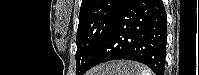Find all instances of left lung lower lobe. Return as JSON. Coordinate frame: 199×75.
I'll use <instances>...</instances> for the list:
<instances>
[{
	"label": "left lung lower lobe",
	"instance_id": "1",
	"mask_svg": "<svg viewBox=\"0 0 199 75\" xmlns=\"http://www.w3.org/2000/svg\"><path fill=\"white\" fill-rule=\"evenodd\" d=\"M166 43L167 21L162 1L125 0L87 70L110 60L126 59L149 66L156 75H164Z\"/></svg>",
	"mask_w": 199,
	"mask_h": 75
}]
</instances>
